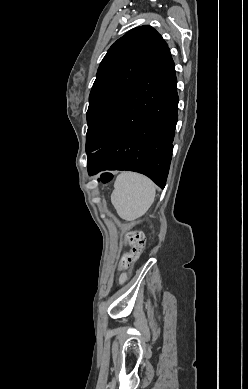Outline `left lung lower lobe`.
Returning a JSON list of instances; mask_svg holds the SVG:
<instances>
[{
    "mask_svg": "<svg viewBox=\"0 0 248 389\" xmlns=\"http://www.w3.org/2000/svg\"><path fill=\"white\" fill-rule=\"evenodd\" d=\"M178 101L175 65L168 48L96 122L98 133L108 141L88 158L89 175L130 170L164 188Z\"/></svg>",
    "mask_w": 248,
    "mask_h": 389,
    "instance_id": "obj_1",
    "label": "left lung lower lobe"
}]
</instances>
